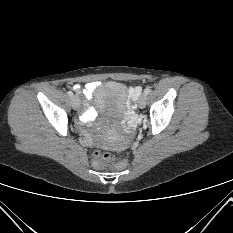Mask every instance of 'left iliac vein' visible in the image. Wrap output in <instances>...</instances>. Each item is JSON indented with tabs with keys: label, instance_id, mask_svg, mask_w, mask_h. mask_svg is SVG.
<instances>
[{
	"label": "left iliac vein",
	"instance_id": "4c4485c4",
	"mask_svg": "<svg viewBox=\"0 0 233 233\" xmlns=\"http://www.w3.org/2000/svg\"><path fill=\"white\" fill-rule=\"evenodd\" d=\"M146 100H147L146 94L143 93L138 99L139 108L142 109L146 106Z\"/></svg>",
	"mask_w": 233,
	"mask_h": 233
}]
</instances>
